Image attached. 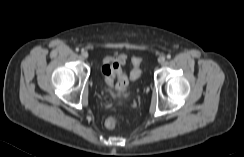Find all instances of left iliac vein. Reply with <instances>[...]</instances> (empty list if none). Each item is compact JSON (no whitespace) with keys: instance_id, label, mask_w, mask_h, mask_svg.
Masks as SVG:
<instances>
[{"instance_id":"left-iliac-vein-1","label":"left iliac vein","mask_w":244,"mask_h":157,"mask_svg":"<svg viewBox=\"0 0 244 157\" xmlns=\"http://www.w3.org/2000/svg\"><path fill=\"white\" fill-rule=\"evenodd\" d=\"M165 61H166V59H165L164 56H160V57L158 58V62H159L160 64H164Z\"/></svg>"}]
</instances>
